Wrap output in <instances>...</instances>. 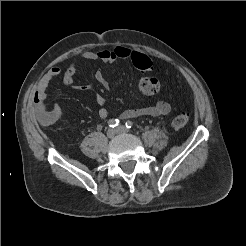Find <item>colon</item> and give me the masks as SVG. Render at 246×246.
I'll use <instances>...</instances> for the list:
<instances>
[{"instance_id": "5ec220e1", "label": "colon", "mask_w": 246, "mask_h": 246, "mask_svg": "<svg viewBox=\"0 0 246 246\" xmlns=\"http://www.w3.org/2000/svg\"><path fill=\"white\" fill-rule=\"evenodd\" d=\"M131 60L136 68L141 71H147L151 68L152 62L150 58L142 53L133 51L131 54ZM138 87L141 92L147 95H156L160 91V82L157 78L151 76H144L140 78ZM189 121V114L187 112L178 113L173 121L172 125L175 128L184 127Z\"/></svg>"}]
</instances>
